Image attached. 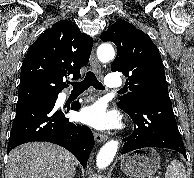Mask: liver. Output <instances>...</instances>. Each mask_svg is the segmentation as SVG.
Segmentation results:
<instances>
[{
	"label": "liver",
	"mask_w": 194,
	"mask_h": 178,
	"mask_svg": "<svg viewBox=\"0 0 194 178\" xmlns=\"http://www.w3.org/2000/svg\"><path fill=\"white\" fill-rule=\"evenodd\" d=\"M77 165V159L58 145L30 142L9 153L5 178H69Z\"/></svg>",
	"instance_id": "obj_1"
}]
</instances>
